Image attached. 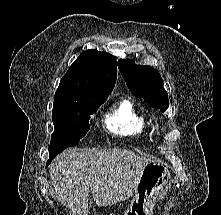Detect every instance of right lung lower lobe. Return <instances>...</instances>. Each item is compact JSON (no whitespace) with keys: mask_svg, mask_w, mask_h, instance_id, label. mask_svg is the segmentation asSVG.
I'll return each instance as SVG.
<instances>
[{"mask_svg":"<svg viewBox=\"0 0 221 215\" xmlns=\"http://www.w3.org/2000/svg\"><path fill=\"white\" fill-rule=\"evenodd\" d=\"M50 162H51V161H48V162H47V166L49 165Z\"/></svg>","mask_w":221,"mask_h":215,"instance_id":"98d812e1","label":"right lung lower lobe"}]
</instances>
